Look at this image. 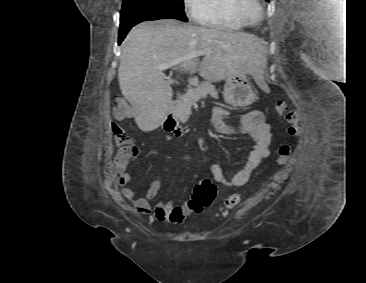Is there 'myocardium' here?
<instances>
[{
    "instance_id": "f54148a6",
    "label": "myocardium",
    "mask_w": 366,
    "mask_h": 283,
    "mask_svg": "<svg viewBox=\"0 0 366 283\" xmlns=\"http://www.w3.org/2000/svg\"><path fill=\"white\" fill-rule=\"evenodd\" d=\"M235 9L238 17L246 25L256 24L260 20L263 10L259 0H236ZM252 12H254L253 16Z\"/></svg>"
}]
</instances>
